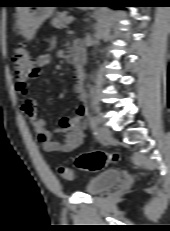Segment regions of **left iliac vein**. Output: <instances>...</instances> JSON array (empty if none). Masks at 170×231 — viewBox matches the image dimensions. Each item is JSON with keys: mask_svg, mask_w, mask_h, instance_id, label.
Segmentation results:
<instances>
[{"mask_svg": "<svg viewBox=\"0 0 170 231\" xmlns=\"http://www.w3.org/2000/svg\"><path fill=\"white\" fill-rule=\"evenodd\" d=\"M98 133H99L100 137L106 141L111 139V137H112L111 131L108 127H100L98 129Z\"/></svg>", "mask_w": 170, "mask_h": 231, "instance_id": "1", "label": "left iliac vein"}]
</instances>
